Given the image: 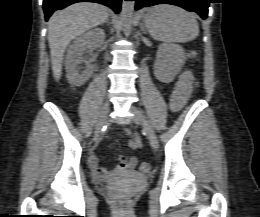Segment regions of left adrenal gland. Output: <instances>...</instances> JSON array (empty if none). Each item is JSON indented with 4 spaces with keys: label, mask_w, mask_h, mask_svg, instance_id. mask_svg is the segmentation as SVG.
I'll use <instances>...</instances> for the list:
<instances>
[{
    "label": "left adrenal gland",
    "mask_w": 260,
    "mask_h": 217,
    "mask_svg": "<svg viewBox=\"0 0 260 217\" xmlns=\"http://www.w3.org/2000/svg\"><path fill=\"white\" fill-rule=\"evenodd\" d=\"M140 28H141L142 31H144V33L147 32V30H146V28H145V23H144V21H143V23H141Z\"/></svg>",
    "instance_id": "obj_1"
}]
</instances>
